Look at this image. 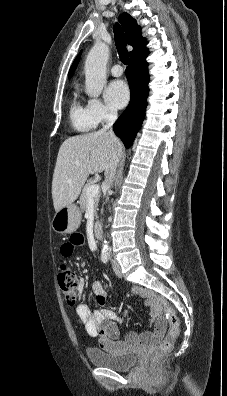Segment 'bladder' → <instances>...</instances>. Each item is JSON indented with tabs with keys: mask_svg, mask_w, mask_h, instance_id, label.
Listing matches in <instances>:
<instances>
[{
	"mask_svg": "<svg viewBox=\"0 0 227 396\" xmlns=\"http://www.w3.org/2000/svg\"><path fill=\"white\" fill-rule=\"evenodd\" d=\"M86 355L92 365L116 371L130 370L138 360L135 354H119L96 347L88 348Z\"/></svg>",
	"mask_w": 227,
	"mask_h": 396,
	"instance_id": "1",
	"label": "bladder"
}]
</instances>
